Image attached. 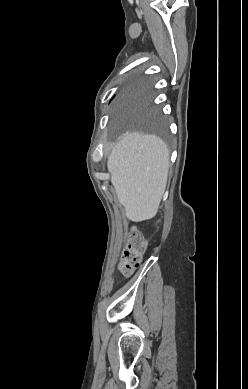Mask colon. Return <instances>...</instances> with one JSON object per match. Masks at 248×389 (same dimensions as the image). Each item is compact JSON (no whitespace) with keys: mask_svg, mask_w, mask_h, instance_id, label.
Instances as JSON below:
<instances>
[{"mask_svg":"<svg viewBox=\"0 0 248 389\" xmlns=\"http://www.w3.org/2000/svg\"><path fill=\"white\" fill-rule=\"evenodd\" d=\"M145 247L146 242L141 233L135 228L132 229L119 266L123 275H129L137 268Z\"/></svg>","mask_w":248,"mask_h":389,"instance_id":"colon-1","label":"colon"}]
</instances>
